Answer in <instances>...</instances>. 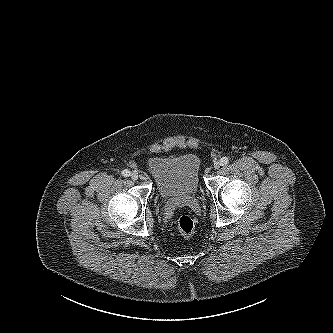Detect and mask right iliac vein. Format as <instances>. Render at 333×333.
<instances>
[{"label": "right iliac vein", "mask_w": 333, "mask_h": 333, "mask_svg": "<svg viewBox=\"0 0 333 333\" xmlns=\"http://www.w3.org/2000/svg\"><path fill=\"white\" fill-rule=\"evenodd\" d=\"M130 177L132 180L136 181L138 179L139 175L137 172L134 171L130 174Z\"/></svg>", "instance_id": "1"}]
</instances>
